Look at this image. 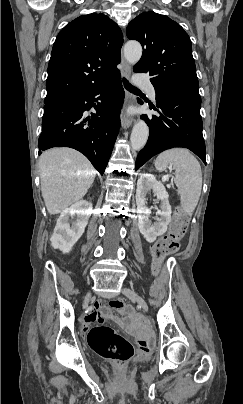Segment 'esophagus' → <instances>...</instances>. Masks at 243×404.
<instances>
[{
	"label": "esophagus",
	"mask_w": 243,
	"mask_h": 404,
	"mask_svg": "<svg viewBox=\"0 0 243 404\" xmlns=\"http://www.w3.org/2000/svg\"><path fill=\"white\" fill-rule=\"evenodd\" d=\"M121 73L124 76V78H130L131 75V69L129 64L125 61V59L122 57L121 59ZM131 95L129 92L126 91V100H130ZM133 119L130 116H127L125 114L121 115V125L124 129L129 128L132 125Z\"/></svg>",
	"instance_id": "34e87169"
}]
</instances>
